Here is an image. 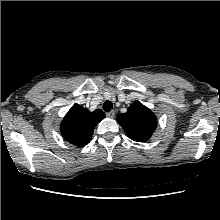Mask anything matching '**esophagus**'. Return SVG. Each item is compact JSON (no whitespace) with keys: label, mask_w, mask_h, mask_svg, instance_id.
<instances>
[{"label":"esophagus","mask_w":220,"mask_h":220,"mask_svg":"<svg viewBox=\"0 0 220 220\" xmlns=\"http://www.w3.org/2000/svg\"><path fill=\"white\" fill-rule=\"evenodd\" d=\"M106 116L109 117V118H113L115 116V112L112 110V111H109L106 113Z\"/></svg>","instance_id":"1"}]
</instances>
